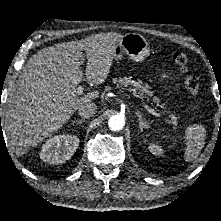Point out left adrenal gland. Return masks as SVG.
Masks as SVG:
<instances>
[{"mask_svg":"<svg viewBox=\"0 0 221 221\" xmlns=\"http://www.w3.org/2000/svg\"><path fill=\"white\" fill-rule=\"evenodd\" d=\"M136 115L138 117L140 131L143 132V128H147V124L143 121L139 112H136Z\"/></svg>","mask_w":221,"mask_h":221,"instance_id":"obj_1","label":"left adrenal gland"}]
</instances>
